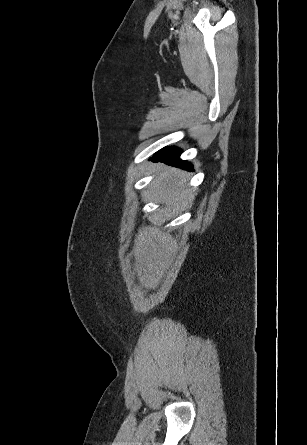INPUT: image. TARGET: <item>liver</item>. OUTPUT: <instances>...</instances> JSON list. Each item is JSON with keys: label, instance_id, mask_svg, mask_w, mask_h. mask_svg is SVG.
I'll list each match as a JSON object with an SVG mask.
<instances>
[{"label": "liver", "instance_id": "6515ba94", "mask_svg": "<svg viewBox=\"0 0 307 445\" xmlns=\"http://www.w3.org/2000/svg\"><path fill=\"white\" fill-rule=\"evenodd\" d=\"M159 168H164L163 164H161ZM158 178L157 188L160 190V196L171 200V204H175L177 200L183 202L188 190L184 170H177V168H168V166H166ZM170 196H172V198H170Z\"/></svg>", "mask_w": 307, "mask_h": 445}]
</instances>
